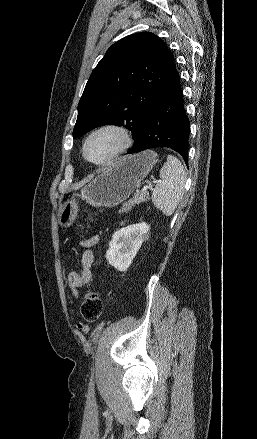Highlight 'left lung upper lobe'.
Segmentation results:
<instances>
[{"label": "left lung upper lobe", "mask_w": 257, "mask_h": 439, "mask_svg": "<svg viewBox=\"0 0 257 439\" xmlns=\"http://www.w3.org/2000/svg\"><path fill=\"white\" fill-rule=\"evenodd\" d=\"M175 69L172 53L153 33L114 43L86 84L73 138L101 125H118L131 130L137 145L141 121Z\"/></svg>", "instance_id": "5c2ea615"}]
</instances>
